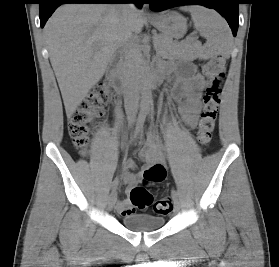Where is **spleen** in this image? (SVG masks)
<instances>
[{
    "instance_id": "3e777b00",
    "label": "spleen",
    "mask_w": 279,
    "mask_h": 267,
    "mask_svg": "<svg viewBox=\"0 0 279 267\" xmlns=\"http://www.w3.org/2000/svg\"><path fill=\"white\" fill-rule=\"evenodd\" d=\"M191 14L194 27L207 41L196 53L200 59H208L213 55L230 56L232 35L226 21L214 10L203 6L183 8Z\"/></svg>"
}]
</instances>
